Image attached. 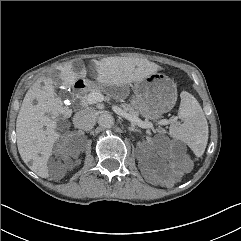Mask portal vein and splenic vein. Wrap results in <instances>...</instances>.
Segmentation results:
<instances>
[{
	"label": "portal vein and splenic vein",
	"instance_id": "obj_1",
	"mask_svg": "<svg viewBox=\"0 0 241 241\" xmlns=\"http://www.w3.org/2000/svg\"><path fill=\"white\" fill-rule=\"evenodd\" d=\"M104 100V96L99 93V92H92L89 94V101L94 104V103H97V102H101ZM113 110L120 116L124 117L125 119L137 124L138 126L142 127V128H150L152 127V124L151 123H148V122H143L142 120H140L138 117L136 116H133V115H130L128 114L127 112H125L124 110H122L121 108L119 107H113ZM171 121L173 120H161L159 121V124L160 125H168L171 123Z\"/></svg>",
	"mask_w": 241,
	"mask_h": 241
}]
</instances>
